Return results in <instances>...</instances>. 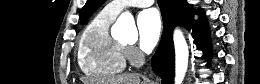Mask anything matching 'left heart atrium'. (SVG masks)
Here are the masks:
<instances>
[{
  "mask_svg": "<svg viewBox=\"0 0 260 84\" xmlns=\"http://www.w3.org/2000/svg\"><path fill=\"white\" fill-rule=\"evenodd\" d=\"M139 46L145 51H151L158 42L161 33V18L154 9H146L138 16Z\"/></svg>",
  "mask_w": 260,
  "mask_h": 84,
  "instance_id": "39dd6f15",
  "label": "left heart atrium"
}]
</instances>
